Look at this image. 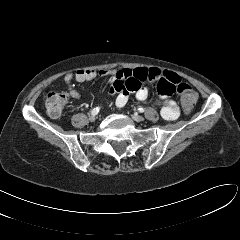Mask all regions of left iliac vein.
Wrapping results in <instances>:
<instances>
[{
    "mask_svg": "<svg viewBox=\"0 0 240 240\" xmlns=\"http://www.w3.org/2000/svg\"><path fill=\"white\" fill-rule=\"evenodd\" d=\"M132 119L136 122H140V121L144 120V118L142 116L136 115V114L132 115Z\"/></svg>",
    "mask_w": 240,
    "mask_h": 240,
    "instance_id": "obj_1",
    "label": "left iliac vein"
}]
</instances>
